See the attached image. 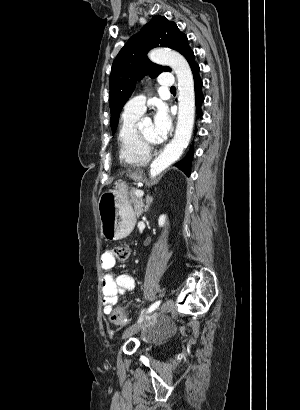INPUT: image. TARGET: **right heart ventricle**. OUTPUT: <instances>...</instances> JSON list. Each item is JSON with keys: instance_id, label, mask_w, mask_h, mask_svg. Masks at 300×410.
I'll use <instances>...</instances> for the list:
<instances>
[{"instance_id": "right-heart-ventricle-1", "label": "right heart ventricle", "mask_w": 300, "mask_h": 410, "mask_svg": "<svg viewBox=\"0 0 300 410\" xmlns=\"http://www.w3.org/2000/svg\"><path fill=\"white\" fill-rule=\"evenodd\" d=\"M141 114L124 111L122 114L117 141L119 158L130 165H144L150 160V150L140 142L137 134V122Z\"/></svg>"}]
</instances>
